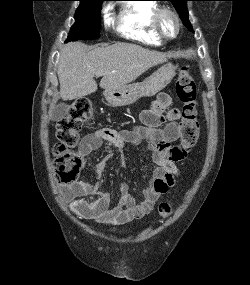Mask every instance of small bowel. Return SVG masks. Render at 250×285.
Returning a JSON list of instances; mask_svg holds the SVG:
<instances>
[{
	"label": "small bowel",
	"instance_id": "1",
	"mask_svg": "<svg viewBox=\"0 0 250 285\" xmlns=\"http://www.w3.org/2000/svg\"><path fill=\"white\" fill-rule=\"evenodd\" d=\"M169 105V97L160 94L153 104V108L145 110L142 115L141 126L131 129L115 130L102 128L84 136L79 150L87 156L98 150L104 142L112 144L119 151H123L126 144L139 145L142 141L148 143L155 164L149 181L143 187V199L137 202L128 192L125 184L120 185V200L116 206L111 207L110 194L102 190V174L107 158L97 166L94 183L78 181L61 186L64 197L70 201L71 210L83 219L95 220L103 224H123L134 219H141L150 214L158 198L174 186L175 178L179 175L176 165L184 158L186 152L170 148V143L180 137L181 129L176 119L178 113L169 111L163 115L161 111ZM166 123L163 130L160 126ZM169 151L170 156L165 152ZM124 154L121 155V167H124ZM87 195H96L93 201L84 199Z\"/></svg>",
	"mask_w": 250,
	"mask_h": 285
}]
</instances>
